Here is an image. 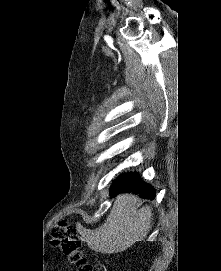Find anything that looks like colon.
<instances>
[{
    "mask_svg": "<svg viewBox=\"0 0 221 271\" xmlns=\"http://www.w3.org/2000/svg\"><path fill=\"white\" fill-rule=\"evenodd\" d=\"M54 239L68 260L79 265V271H95L93 264L86 263L85 255L81 250L82 240L79 233L74 227L69 226L67 219H61L58 222Z\"/></svg>",
    "mask_w": 221,
    "mask_h": 271,
    "instance_id": "5ec220e1",
    "label": "colon"
}]
</instances>
